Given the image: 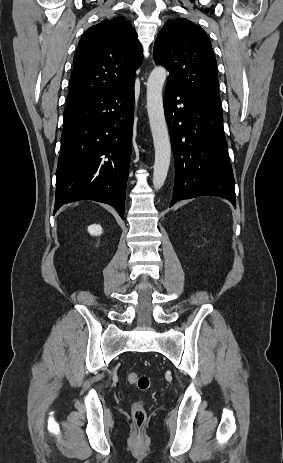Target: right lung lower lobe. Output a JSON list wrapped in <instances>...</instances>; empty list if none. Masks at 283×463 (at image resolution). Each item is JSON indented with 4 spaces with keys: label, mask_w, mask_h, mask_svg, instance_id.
Wrapping results in <instances>:
<instances>
[{
    "label": "right lung lower lobe",
    "mask_w": 283,
    "mask_h": 463,
    "mask_svg": "<svg viewBox=\"0 0 283 463\" xmlns=\"http://www.w3.org/2000/svg\"><path fill=\"white\" fill-rule=\"evenodd\" d=\"M134 112V82L99 92L64 110L54 213L90 199L123 218Z\"/></svg>",
    "instance_id": "right-lung-lower-lobe-1"
}]
</instances>
